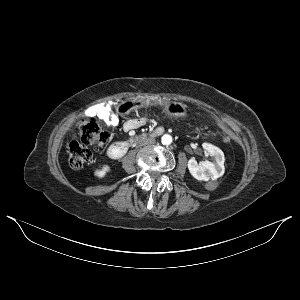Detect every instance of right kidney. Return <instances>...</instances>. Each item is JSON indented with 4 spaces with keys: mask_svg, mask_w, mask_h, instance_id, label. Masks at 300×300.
Masks as SVG:
<instances>
[{
    "mask_svg": "<svg viewBox=\"0 0 300 300\" xmlns=\"http://www.w3.org/2000/svg\"><path fill=\"white\" fill-rule=\"evenodd\" d=\"M110 171V166L109 165H103L100 169H97L94 172V175L99 177V178H103L105 177V175Z\"/></svg>",
    "mask_w": 300,
    "mask_h": 300,
    "instance_id": "1",
    "label": "right kidney"
}]
</instances>
